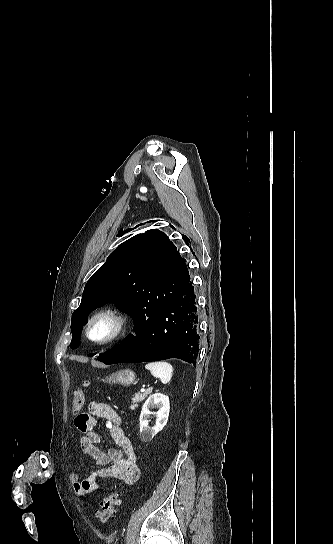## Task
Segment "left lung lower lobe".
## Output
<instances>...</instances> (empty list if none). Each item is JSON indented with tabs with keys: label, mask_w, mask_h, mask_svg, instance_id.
Here are the masks:
<instances>
[{
	"label": "left lung lower lobe",
	"mask_w": 333,
	"mask_h": 544,
	"mask_svg": "<svg viewBox=\"0 0 333 544\" xmlns=\"http://www.w3.org/2000/svg\"><path fill=\"white\" fill-rule=\"evenodd\" d=\"M198 324L196 295L189 279L186 287L154 318L134 325L135 336L97 359L113 364L179 358L194 364L199 351Z\"/></svg>",
	"instance_id": "0a47b994"
}]
</instances>
